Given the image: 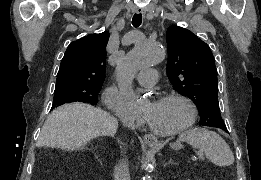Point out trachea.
I'll list each match as a JSON object with an SVG mask.
<instances>
[{
    "instance_id": "obj_1",
    "label": "trachea",
    "mask_w": 261,
    "mask_h": 180,
    "mask_svg": "<svg viewBox=\"0 0 261 180\" xmlns=\"http://www.w3.org/2000/svg\"><path fill=\"white\" fill-rule=\"evenodd\" d=\"M142 23V15L141 13H135V15L132 18V25L134 27H139Z\"/></svg>"
}]
</instances>
